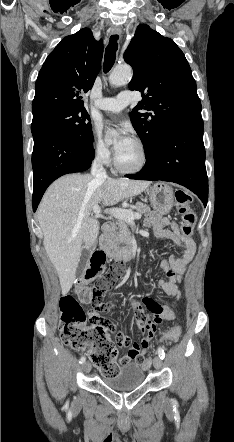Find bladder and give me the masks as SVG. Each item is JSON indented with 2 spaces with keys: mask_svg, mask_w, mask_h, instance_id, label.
<instances>
[{
  "mask_svg": "<svg viewBox=\"0 0 234 442\" xmlns=\"http://www.w3.org/2000/svg\"><path fill=\"white\" fill-rule=\"evenodd\" d=\"M145 371L137 364H127L120 368L115 376L104 377L103 383L113 390H129L142 385Z\"/></svg>",
  "mask_w": 234,
  "mask_h": 442,
  "instance_id": "bladder-1",
  "label": "bladder"
}]
</instances>
